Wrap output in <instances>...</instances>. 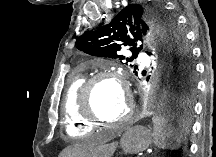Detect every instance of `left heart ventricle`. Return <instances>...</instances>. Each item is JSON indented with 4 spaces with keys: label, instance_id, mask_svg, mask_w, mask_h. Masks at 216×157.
<instances>
[{
    "label": "left heart ventricle",
    "instance_id": "obj_1",
    "mask_svg": "<svg viewBox=\"0 0 216 157\" xmlns=\"http://www.w3.org/2000/svg\"><path fill=\"white\" fill-rule=\"evenodd\" d=\"M93 107L100 118L113 122L125 113L128 103L118 85L105 81L94 88Z\"/></svg>",
    "mask_w": 216,
    "mask_h": 157
}]
</instances>
